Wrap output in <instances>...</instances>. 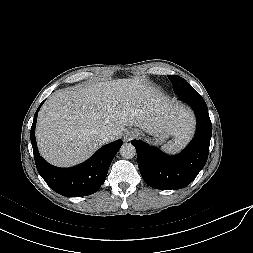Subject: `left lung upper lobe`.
I'll return each mask as SVG.
<instances>
[{
  "mask_svg": "<svg viewBox=\"0 0 253 253\" xmlns=\"http://www.w3.org/2000/svg\"><path fill=\"white\" fill-rule=\"evenodd\" d=\"M168 78L172 82L173 90L177 95L194 90V88L186 80L178 75H169Z\"/></svg>",
  "mask_w": 253,
  "mask_h": 253,
  "instance_id": "5c2ea615",
  "label": "left lung upper lobe"
}]
</instances>
